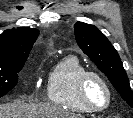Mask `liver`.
Here are the masks:
<instances>
[{
    "label": "liver",
    "mask_w": 133,
    "mask_h": 118,
    "mask_svg": "<svg viewBox=\"0 0 133 118\" xmlns=\"http://www.w3.org/2000/svg\"><path fill=\"white\" fill-rule=\"evenodd\" d=\"M0 118H82V116L48 104L13 102L0 105Z\"/></svg>",
    "instance_id": "liver-1"
}]
</instances>
